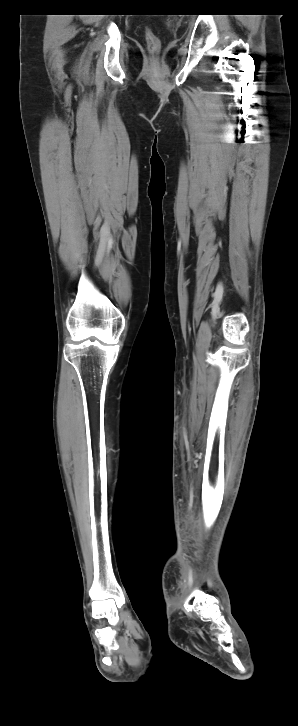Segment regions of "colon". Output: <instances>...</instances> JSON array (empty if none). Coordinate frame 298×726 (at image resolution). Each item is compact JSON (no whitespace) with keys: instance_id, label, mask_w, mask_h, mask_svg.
Returning <instances> with one entry per match:
<instances>
[{"instance_id":"1","label":"colon","mask_w":298,"mask_h":726,"mask_svg":"<svg viewBox=\"0 0 298 726\" xmlns=\"http://www.w3.org/2000/svg\"><path fill=\"white\" fill-rule=\"evenodd\" d=\"M145 36H146V41H147V44H148L149 49L152 52L157 51L159 49V47H160V40H159V38L152 31H150V30H147L146 31Z\"/></svg>"}]
</instances>
